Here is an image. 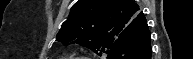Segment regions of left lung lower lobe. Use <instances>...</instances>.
Returning <instances> with one entry per match:
<instances>
[{
  "instance_id": "1",
  "label": "left lung lower lobe",
  "mask_w": 193,
  "mask_h": 59,
  "mask_svg": "<svg viewBox=\"0 0 193 59\" xmlns=\"http://www.w3.org/2000/svg\"><path fill=\"white\" fill-rule=\"evenodd\" d=\"M108 59H151L150 31L144 15L113 44Z\"/></svg>"
}]
</instances>
